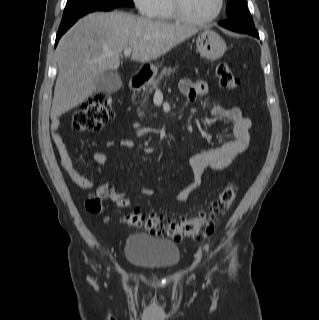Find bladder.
<instances>
[{
  "mask_svg": "<svg viewBox=\"0 0 319 320\" xmlns=\"http://www.w3.org/2000/svg\"><path fill=\"white\" fill-rule=\"evenodd\" d=\"M180 249L169 239H158L146 234H130L125 243L126 259L150 270H166L180 260Z\"/></svg>",
  "mask_w": 319,
  "mask_h": 320,
  "instance_id": "1",
  "label": "bladder"
}]
</instances>
